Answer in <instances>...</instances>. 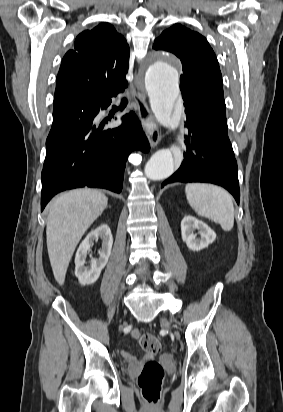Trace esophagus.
<instances>
[{
	"instance_id": "34e87169",
	"label": "esophagus",
	"mask_w": 283,
	"mask_h": 412,
	"mask_svg": "<svg viewBox=\"0 0 283 412\" xmlns=\"http://www.w3.org/2000/svg\"><path fill=\"white\" fill-rule=\"evenodd\" d=\"M134 84L135 88L132 90V97L136 102L140 120L146 124L148 121H152V114L146 102L144 87L139 86L137 81H135ZM147 137L152 148L160 141V134L156 127L147 129Z\"/></svg>"
}]
</instances>
